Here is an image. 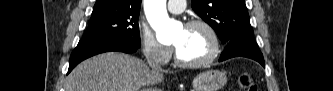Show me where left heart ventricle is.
<instances>
[{
  "mask_svg": "<svg viewBox=\"0 0 333 91\" xmlns=\"http://www.w3.org/2000/svg\"><path fill=\"white\" fill-rule=\"evenodd\" d=\"M174 46L186 61H199L206 58L212 49L208 33L202 27L181 28L174 39Z\"/></svg>",
  "mask_w": 333,
  "mask_h": 91,
  "instance_id": "obj_1",
  "label": "left heart ventricle"
}]
</instances>
